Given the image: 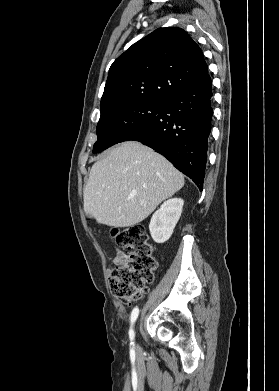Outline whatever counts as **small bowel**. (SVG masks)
Segmentation results:
<instances>
[{"instance_id":"1","label":"small bowel","mask_w":279,"mask_h":391,"mask_svg":"<svg viewBox=\"0 0 279 391\" xmlns=\"http://www.w3.org/2000/svg\"><path fill=\"white\" fill-rule=\"evenodd\" d=\"M122 255H123V253L121 251L117 252V256L115 257V259L113 261L114 265H116L120 261Z\"/></svg>"}]
</instances>
